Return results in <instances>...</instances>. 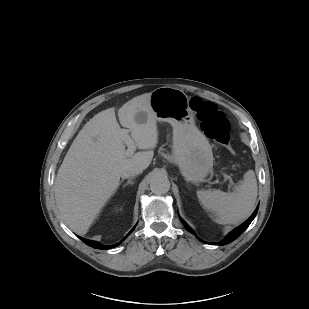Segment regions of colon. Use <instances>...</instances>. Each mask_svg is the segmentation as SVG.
I'll use <instances>...</instances> for the list:
<instances>
[{
  "mask_svg": "<svg viewBox=\"0 0 309 309\" xmlns=\"http://www.w3.org/2000/svg\"><path fill=\"white\" fill-rule=\"evenodd\" d=\"M190 107L199 120L205 134L219 144L223 145L230 153L234 150L230 144L229 124L226 116L218 106L200 97H193Z\"/></svg>",
  "mask_w": 309,
  "mask_h": 309,
  "instance_id": "5ec220e1",
  "label": "colon"
}]
</instances>
